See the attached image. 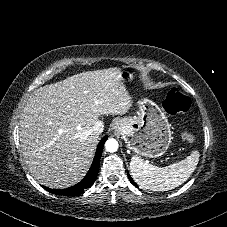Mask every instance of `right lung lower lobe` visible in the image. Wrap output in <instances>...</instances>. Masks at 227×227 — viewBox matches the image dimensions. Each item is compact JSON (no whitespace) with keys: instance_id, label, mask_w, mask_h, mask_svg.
I'll return each instance as SVG.
<instances>
[{"instance_id":"right-lung-lower-lobe-1","label":"right lung lower lobe","mask_w":227,"mask_h":227,"mask_svg":"<svg viewBox=\"0 0 227 227\" xmlns=\"http://www.w3.org/2000/svg\"><path fill=\"white\" fill-rule=\"evenodd\" d=\"M107 138L108 136H104L102 140L99 142L91 168L81 182H79L78 184L72 187L62 189V190H54L47 187H44V188L50 193L58 194V195H66V196L78 195L83 193L84 189L90 188L95 182L96 177L98 175L100 157L102 155L103 146Z\"/></svg>"}]
</instances>
